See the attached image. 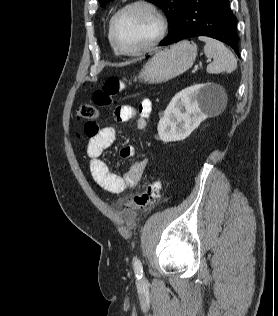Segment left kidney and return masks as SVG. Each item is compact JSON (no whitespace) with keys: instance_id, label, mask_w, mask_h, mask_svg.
I'll use <instances>...</instances> for the list:
<instances>
[{"instance_id":"5707ae66","label":"left kidney","mask_w":278,"mask_h":316,"mask_svg":"<svg viewBox=\"0 0 278 316\" xmlns=\"http://www.w3.org/2000/svg\"><path fill=\"white\" fill-rule=\"evenodd\" d=\"M224 95L223 87L215 83L197 84L183 89L172 98L158 123L159 138L163 142L187 138Z\"/></svg>"}]
</instances>
